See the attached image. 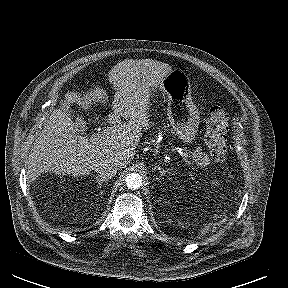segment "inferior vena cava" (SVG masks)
<instances>
[{
  "mask_svg": "<svg viewBox=\"0 0 288 288\" xmlns=\"http://www.w3.org/2000/svg\"><path fill=\"white\" fill-rule=\"evenodd\" d=\"M95 171L102 179H110L116 175L118 166L112 159L98 161L94 167Z\"/></svg>",
  "mask_w": 288,
  "mask_h": 288,
  "instance_id": "obj_1",
  "label": "inferior vena cava"
}]
</instances>
